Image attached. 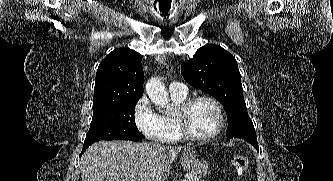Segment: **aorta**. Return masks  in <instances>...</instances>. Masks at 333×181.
I'll use <instances>...</instances> for the list:
<instances>
[{"mask_svg": "<svg viewBox=\"0 0 333 181\" xmlns=\"http://www.w3.org/2000/svg\"><path fill=\"white\" fill-rule=\"evenodd\" d=\"M146 93L150 100L159 108H168L170 99L160 77H152L145 86Z\"/></svg>", "mask_w": 333, "mask_h": 181, "instance_id": "obj_1", "label": "aorta"}]
</instances>
